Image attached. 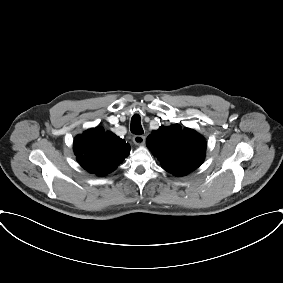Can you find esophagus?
Returning a JSON list of instances; mask_svg holds the SVG:
<instances>
[{"instance_id":"obj_1","label":"esophagus","mask_w":283,"mask_h":283,"mask_svg":"<svg viewBox=\"0 0 283 283\" xmlns=\"http://www.w3.org/2000/svg\"><path fill=\"white\" fill-rule=\"evenodd\" d=\"M133 142H134L135 145L141 146V145H143L145 143V136H143V135H135L133 137Z\"/></svg>"}]
</instances>
